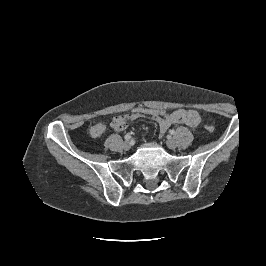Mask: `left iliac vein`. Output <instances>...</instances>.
<instances>
[{
	"label": "left iliac vein",
	"mask_w": 266,
	"mask_h": 266,
	"mask_svg": "<svg viewBox=\"0 0 266 266\" xmlns=\"http://www.w3.org/2000/svg\"><path fill=\"white\" fill-rule=\"evenodd\" d=\"M166 144L167 146L170 148V149H175L176 146H177V143L174 139L172 138H169L167 141H166Z\"/></svg>",
	"instance_id": "obj_1"
}]
</instances>
